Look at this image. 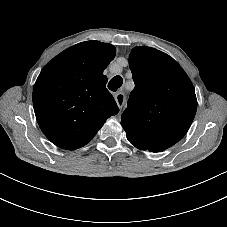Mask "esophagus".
<instances>
[{"mask_svg":"<svg viewBox=\"0 0 227 227\" xmlns=\"http://www.w3.org/2000/svg\"><path fill=\"white\" fill-rule=\"evenodd\" d=\"M115 100L119 109H122L126 101V96L123 92H119L115 95Z\"/></svg>","mask_w":227,"mask_h":227,"instance_id":"34e87169","label":"esophagus"}]
</instances>
